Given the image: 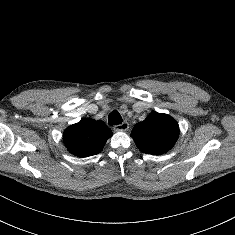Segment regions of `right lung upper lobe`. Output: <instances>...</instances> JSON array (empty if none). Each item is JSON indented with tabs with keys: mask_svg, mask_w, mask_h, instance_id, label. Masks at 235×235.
Segmentation results:
<instances>
[{
	"mask_svg": "<svg viewBox=\"0 0 235 235\" xmlns=\"http://www.w3.org/2000/svg\"><path fill=\"white\" fill-rule=\"evenodd\" d=\"M112 131L101 120L82 119L64 130L63 141L69 152L88 157L102 151Z\"/></svg>",
	"mask_w": 235,
	"mask_h": 235,
	"instance_id": "obj_1",
	"label": "right lung upper lobe"
}]
</instances>
